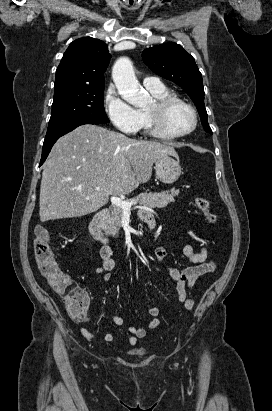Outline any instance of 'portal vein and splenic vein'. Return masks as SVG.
Returning a JSON list of instances; mask_svg holds the SVG:
<instances>
[{"mask_svg":"<svg viewBox=\"0 0 272 411\" xmlns=\"http://www.w3.org/2000/svg\"><path fill=\"white\" fill-rule=\"evenodd\" d=\"M96 190H100V187H97ZM137 201H138V199H134V200H131V201H126V200H122L118 196H111L112 204L122 208L124 211H129L131 209L132 205L136 204Z\"/></svg>","mask_w":272,"mask_h":411,"instance_id":"18ae733b","label":"portal vein and splenic vein"}]
</instances>
